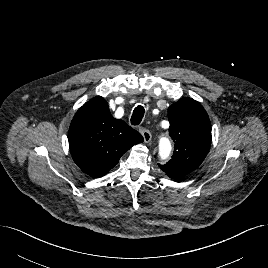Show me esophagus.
<instances>
[{
    "label": "esophagus",
    "mask_w": 268,
    "mask_h": 268,
    "mask_svg": "<svg viewBox=\"0 0 268 268\" xmlns=\"http://www.w3.org/2000/svg\"><path fill=\"white\" fill-rule=\"evenodd\" d=\"M140 130H141V133H142L144 142L145 143L150 142V140H151V133L147 129H145V128H141Z\"/></svg>",
    "instance_id": "esophagus-1"
}]
</instances>
